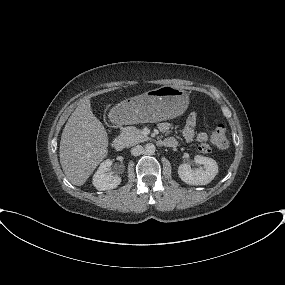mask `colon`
<instances>
[{
	"mask_svg": "<svg viewBox=\"0 0 285 285\" xmlns=\"http://www.w3.org/2000/svg\"><path fill=\"white\" fill-rule=\"evenodd\" d=\"M211 142L212 144L219 150H225L229 146V141L227 138L226 127L219 123L215 126V128L211 132ZM199 150L202 153H209L211 151V147L208 144H202L199 147Z\"/></svg>",
	"mask_w": 285,
	"mask_h": 285,
	"instance_id": "5ec220e1",
	"label": "colon"
}]
</instances>
